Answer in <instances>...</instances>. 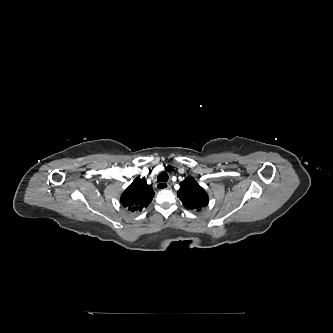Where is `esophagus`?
Instances as JSON below:
<instances>
[{"label": "esophagus", "instance_id": "34e87169", "mask_svg": "<svg viewBox=\"0 0 333 333\" xmlns=\"http://www.w3.org/2000/svg\"><path fill=\"white\" fill-rule=\"evenodd\" d=\"M170 187H171L170 184L165 183V182H158V183L156 184V188H157L158 190L169 189Z\"/></svg>", "mask_w": 333, "mask_h": 333}]
</instances>
